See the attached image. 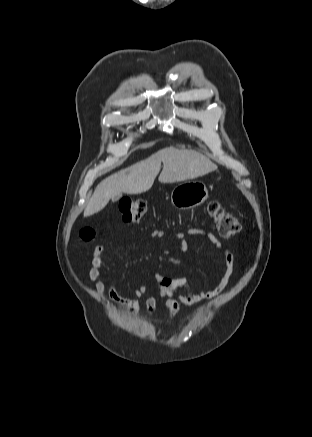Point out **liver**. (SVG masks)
Returning a JSON list of instances; mask_svg holds the SVG:
<instances>
[{"instance_id": "1", "label": "liver", "mask_w": 312, "mask_h": 437, "mask_svg": "<svg viewBox=\"0 0 312 437\" xmlns=\"http://www.w3.org/2000/svg\"><path fill=\"white\" fill-rule=\"evenodd\" d=\"M162 162L163 170L159 176L161 183L194 179L217 170L216 164L197 151L164 148L102 180L84 210V217L98 213L111 199L122 193L140 194L148 191L160 172Z\"/></svg>"}]
</instances>
